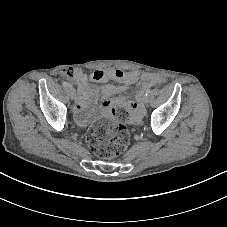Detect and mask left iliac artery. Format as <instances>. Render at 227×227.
Wrapping results in <instances>:
<instances>
[{
  "mask_svg": "<svg viewBox=\"0 0 227 227\" xmlns=\"http://www.w3.org/2000/svg\"><path fill=\"white\" fill-rule=\"evenodd\" d=\"M149 94H150V89H147V90L145 91V96H149Z\"/></svg>",
  "mask_w": 227,
  "mask_h": 227,
  "instance_id": "44dca946",
  "label": "left iliac artery"
}]
</instances>
